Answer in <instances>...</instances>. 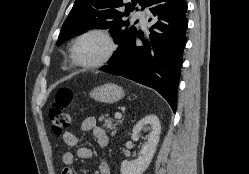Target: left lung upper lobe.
<instances>
[{
  "instance_id": "obj_1",
  "label": "left lung upper lobe",
  "mask_w": 249,
  "mask_h": 174,
  "mask_svg": "<svg viewBox=\"0 0 249 174\" xmlns=\"http://www.w3.org/2000/svg\"><path fill=\"white\" fill-rule=\"evenodd\" d=\"M149 0H130L124 4L123 0H76L72 10L63 23L56 45L59 46L70 38L80 35L89 29L110 28L114 41L119 44L110 64L115 62L125 45L137 34L135 25L124 21L139 4L142 8L147 6ZM125 6V10L122 7Z\"/></svg>"
}]
</instances>
